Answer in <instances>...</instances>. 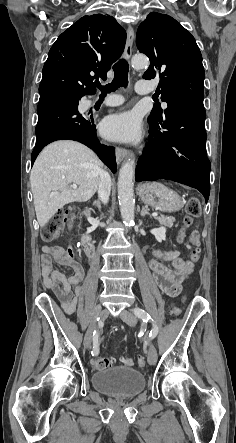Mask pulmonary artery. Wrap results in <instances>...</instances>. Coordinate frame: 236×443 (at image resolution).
<instances>
[{"label": "pulmonary artery", "instance_id": "obj_1", "mask_svg": "<svg viewBox=\"0 0 236 443\" xmlns=\"http://www.w3.org/2000/svg\"><path fill=\"white\" fill-rule=\"evenodd\" d=\"M135 90L139 94H148V93H150L152 91V88L150 87L149 82H147V81H138L136 83ZM122 102H123L122 99H116V100H113V101L105 102L104 104L106 106H116V105L121 104ZM92 103L93 102H90V104H92ZM164 107H166V104H164Z\"/></svg>", "mask_w": 236, "mask_h": 443}]
</instances>
